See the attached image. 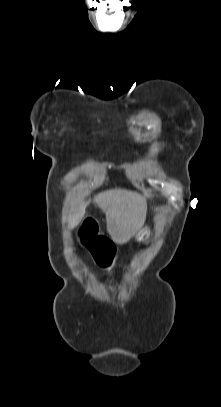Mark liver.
I'll return each instance as SVG.
<instances>
[{
    "instance_id": "obj_1",
    "label": "liver",
    "mask_w": 221,
    "mask_h": 407,
    "mask_svg": "<svg viewBox=\"0 0 221 407\" xmlns=\"http://www.w3.org/2000/svg\"><path fill=\"white\" fill-rule=\"evenodd\" d=\"M93 201L106 216L107 231L117 244L127 243L144 225L147 213L145 199L136 192L114 189L96 195ZM88 202L81 203L70 220L76 226L82 220Z\"/></svg>"
}]
</instances>
